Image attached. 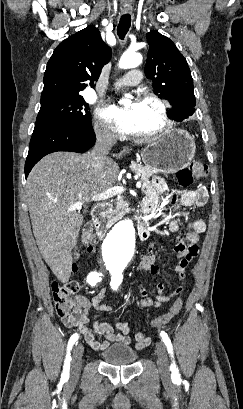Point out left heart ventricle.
<instances>
[{"label": "left heart ventricle", "instance_id": "left-heart-ventricle-1", "mask_svg": "<svg viewBox=\"0 0 243 409\" xmlns=\"http://www.w3.org/2000/svg\"><path fill=\"white\" fill-rule=\"evenodd\" d=\"M135 109L133 134H142L158 129L161 124L159 107L150 101H137L132 104Z\"/></svg>", "mask_w": 243, "mask_h": 409}]
</instances>
